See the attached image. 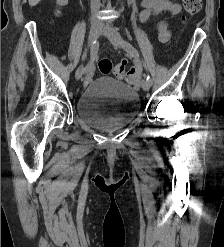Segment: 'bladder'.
Segmentation results:
<instances>
[{
	"label": "bladder",
	"mask_w": 224,
	"mask_h": 247,
	"mask_svg": "<svg viewBox=\"0 0 224 247\" xmlns=\"http://www.w3.org/2000/svg\"><path fill=\"white\" fill-rule=\"evenodd\" d=\"M139 109L138 93L107 76L90 82L76 101L78 117L88 126L103 132H114L129 125Z\"/></svg>",
	"instance_id": "1"
}]
</instances>
